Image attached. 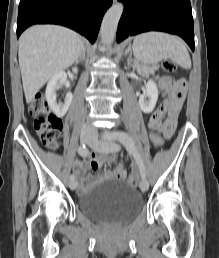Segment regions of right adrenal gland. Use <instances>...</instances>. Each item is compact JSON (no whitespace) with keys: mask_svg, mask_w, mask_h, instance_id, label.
Segmentation results:
<instances>
[{"mask_svg":"<svg viewBox=\"0 0 219 258\" xmlns=\"http://www.w3.org/2000/svg\"><path fill=\"white\" fill-rule=\"evenodd\" d=\"M85 55H86V49L85 47L83 48L82 54L80 55V57L76 60V64L85 61Z\"/></svg>","mask_w":219,"mask_h":258,"instance_id":"right-adrenal-gland-1","label":"right adrenal gland"}]
</instances>
